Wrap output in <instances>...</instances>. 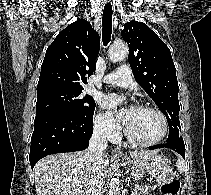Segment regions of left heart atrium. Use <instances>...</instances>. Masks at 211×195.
<instances>
[{
    "label": "left heart atrium",
    "instance_id": "left-heart-atrium-1",
    "mask_svg": "<svg viewBox=\"0 0 211 195\" xmlns=\"http://www.w3.org/2000/svg\"><path fill=\"white\" fill-rule=\"evenodd\" d=\"M120 100L121 99L118 96H116L114 94H108V95H105L102 97L101 103L105 108H108V109L116 112L120 116V118L124 121V123H126L130 116V112L132 109L118 112L117 108L120 103Z\"/></svg>",
    "mask_w": 211,
    "mask_h": 195
}]
</instances>
